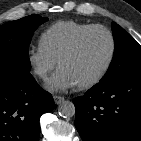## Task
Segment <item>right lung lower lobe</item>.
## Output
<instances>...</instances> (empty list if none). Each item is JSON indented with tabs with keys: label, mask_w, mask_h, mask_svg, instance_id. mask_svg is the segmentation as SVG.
<instances>
[{
	"label": "right lung lower lobe",
	"mask_w": 141,
	"mask_h": 141,
	"mask_svg": "<svg viewBox=\"0 0 141 141\" xmlns=\"http://www.w3.org/2000/svg\"><path fill=\"white\" fill-rule=\"evenodd\" d=\"M54 108L29 72L0 74V141H38L40 116Z\"/></svg>",
	"instance_id": "98d812e1"
}]
</instances>
